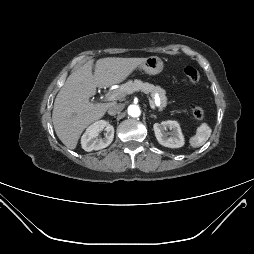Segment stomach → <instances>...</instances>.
Returning a JSON list of instances; mask_svg holds the SVG:
<instances>
[{
  "instance_id": "obj_1",
  "label": "stomach",
  "mask_w": 254,
  "mask_h": 254,
  "mask_svg": "<svg viewBox=\"0 0 254 254\" xmlns=\"http://www.w3.org/2000/svg\"><path fill=\"white\" fill-rule=\"evenodd\" d=\"M163 67L164 64L161 58L158 56H150L139 65V70L149 75H156L162 72Z\"/></svg>"
}]
</instances>
